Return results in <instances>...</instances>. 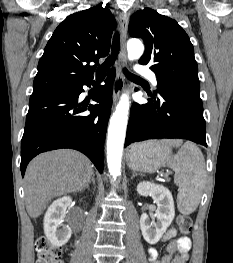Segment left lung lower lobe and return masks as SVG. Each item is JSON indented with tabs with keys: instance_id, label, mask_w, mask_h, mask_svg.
<instances>
[{
	"instance_id": "obj_1",
	"label": "left lung lower lobe",
	"mask_w": 233,
	"mask_h": 263,
	"mask_svg": "<svg viewBox=\"0 0 233 263\" xmlns=\"http://www.w3.org/2000/svg\"><path fill=\"white\" fill-rule=\"evenodd\" d=\"M150 94L147 104L133 103L125 147L137 141L180 138L207 147L200 89L168 85Z\"/></svg>"
}]
</instances>
